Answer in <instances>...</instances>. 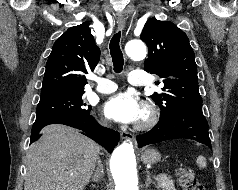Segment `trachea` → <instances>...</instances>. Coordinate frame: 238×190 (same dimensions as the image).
Here are the masks:
<instances>
[{
	"label": "trachea",
	"mask_w": 238,
	"mask_h": 190,
	"mask_svg": "<svg viewBox=\"0 0 238 190\" xmlns=\"http://www.w3.org/2000/svg\"><path fill=\"white\" fill-rule=\"evenodd\" d=\"M120 37H121V32L119 31L112 37L110 41V45H109L110 54H111L113 66H114V71L116 73H120L123 70V65H124V58H123V54L119 45Z\"/></svg>",
	"instance_id": "trachea-1"
}]
</instances>
